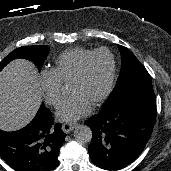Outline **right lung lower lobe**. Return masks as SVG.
I'll return each mask as SVG.
<instances>
[{
  "label": "right lung lower lobe",
  "instance_id": "right-lung-lower-lobe-1",
  "mask_svg": "<svg viewBox=\"0 0 171 171\" xmlns=\"http://www.w3.org/2000/svg\"><path fill=\"white\" fill-rule=\"evenodd\" d=\"M66 134L41 105L35 118L15 132L0 130V156L16 171H53Z\"/></svg>",
  "mask_w": 171,
  "mask_h": 171
}]
</instances>
